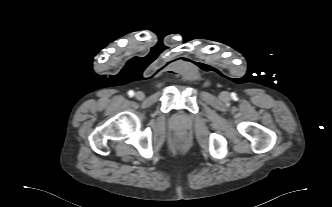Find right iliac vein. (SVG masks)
<instances>
[{
  "label": "right iliac vein",
  "instance_id": "right-iliac-vein-1",
  "mask_svg": "<svg viewBox=\"0 0 332 207\" xmlns=\"http://www.w3.org/2000/svg\"><path fill=\"white\" fill-rule=\"evenodd\" d=\"M135 97H136L138 100H143L144 97H145V95H144L143 92L138 91V92H136Z\"/></svg>",
  "mask_w": 332,
  "mask_h": 207
}]
</instances>
